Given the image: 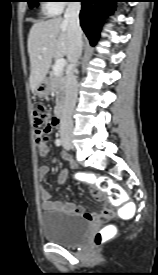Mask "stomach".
Masks as SVG:
<instances>
[{"instance_id": "0dacf381", "label": "stomach", "mask_w": 158, "mask_h": 275, "mask_svg": "<svg viewBox=\"0 0 158 275\" xmlns=\"http://www.w3.org/2000/svg\"><path fill=\"white\" fill-rule=\"evenodd\" d=\"M49 92V80L48 78H44L35 89L34 94L39 98H43L48 96Z\"/></svg>"}]
</instances>
